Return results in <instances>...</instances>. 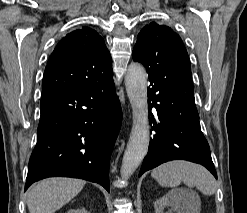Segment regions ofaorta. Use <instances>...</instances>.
Instances as JSON below:
<instances>
[{
	"label": "aorta",
	"instance_id": "1",
	"mask_svg": "<svg viewBox=\"0 0 247 213\" xmlns=\"http://www.w3.org/2000/svg\"><path fill=\"white\" fill-rule=\"evenodd\" d=\"M127 96L133 110V127L122 160L123 177L131 176L144 159L150 140L147 74L139 63H131L125 75Z\"/></svg>",
	"mask_w": 247,
	"mask_h": 213
}]
</instances>
